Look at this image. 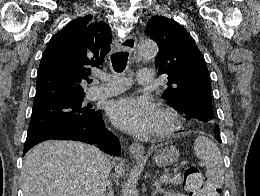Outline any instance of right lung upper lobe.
Instances as JSON below:
<instances>
[{"label":"right lung upper lobe","instance_id":"cb5924a9","mask_svg":"<svg viewBox=\"0 0 260 196\" xmlns=\"http://www.w3.org/2000/svg\"><path fill=\"white\" fill-rule=\"evenodd\" d=\"M92 18L79 17L51 38L39 65L33 105L85 94L80 83L93 69L100 68L112 39L109 25Z\"/></svg>","mask_w":260,"mask_h":196}]
</instances>
